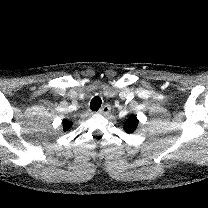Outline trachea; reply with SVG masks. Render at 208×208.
<instances>
[{
	"mask_svg": "<svg viewBox=\"0 0 208 208\" xmlns=\"http://www.w3.org/2000/svg\"><path fill=\"white\" fill-rule=\"evenodd\" d=\"M102 104V100L99 96H95L90 102V109L92 111H97Z\"/></svg>",
	"mask_w": 208,
	"mask_h": 208,
	"instance_id": "trachea-1",
	"label": "trachea"
}]
</instances>
